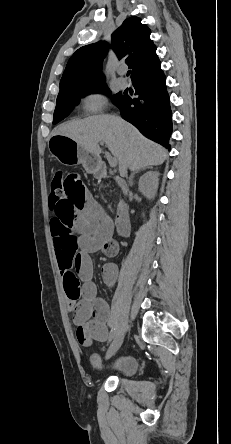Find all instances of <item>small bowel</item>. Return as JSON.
<instances>
[{
    "label": "small bowel",
    "instance_id": "small-bowel-1",
    "mask_svg": "<svg viewBox=\"0 0 231 444\" xmlns=\"http://www.w3.org/2000/svg\"><path fill=\"white\" fill-rule=\"evenodd\" d=\"M64 185L65 196L59 200L51 197L49 202L54 213L51 234L77 341L89 346L94 341L104 342L110 336V308L98 296L92 281L91 255L102 253L113 257L118 245L111 237L110 222L102 217L100 207L80 176L69 174ZM117 274L114 264L102 267V278L108 286L116 283Z\"/></svg>",
    "mask_w": 231,
    "mask_h": 444
}]
</instances>
